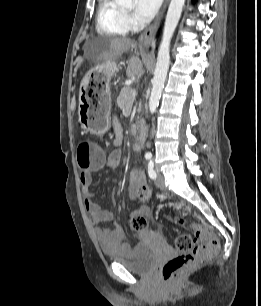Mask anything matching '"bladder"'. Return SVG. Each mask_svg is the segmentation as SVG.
<instances>
[{"mask_svg": "<svg viewBox=\"0 0 261 306\" xmlns=\"http://www.w3.org/2000/svg\"><path fill=\"white\" fill-rule=\"evenodd\" d=\"M150 235L152 238L158 239L155 233L150 232ZM105 257L107 261L119 263L129 271L147 273L156 263L158 253L154 246L146 242H139L131 247L127 254L105 253Z\"/></svg>", "mask_w": 261, "mask_h": 306, "instance_id": "31cf9c89", "label": "bladder"}]
</instances>
